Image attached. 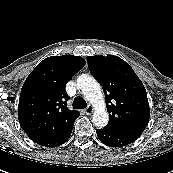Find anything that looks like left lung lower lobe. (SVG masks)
I'll use <instances>...</instances> for the list:
<instances>
[{"mask_svg": "<svg viewBox=\"0 0 173 173\" xmlns=\"http://www.w3.org/2000/svg\"><path fill=\"white\" fill-rule=\"evenodd\" d=\"M99 140L110 147L126 146L134 142L138 137L121 133L115 129L104 127L96 130Z\"/></svg>", "mask_w": 173, "mask_h": 173, "instance_id": "obj_1", "label": "left lung lower lobe"}]
</instances>
